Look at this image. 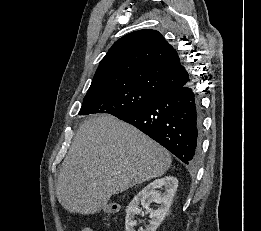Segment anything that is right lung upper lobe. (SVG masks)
Here are the masks:
<instances>
[{
	"instance_id": "cb5924a9",
	"label": "right lung upper lobe",
	"mask_w": 261,
	"mask_h": 231,
	"mask_svg": "<svg viewBox=\"0 0 261 231\" xmlns=\"http://www.w3.org/2000/svg\"><path fill=\"white\" fill-rule=\"evenodd\" d=\"M191 81L175 49L155 30L120 38L100 61L88 93L128 86L159 97Z\"/></svg>"
}]
</instances>
